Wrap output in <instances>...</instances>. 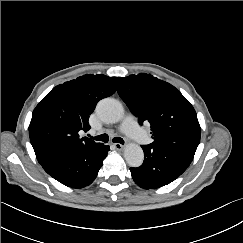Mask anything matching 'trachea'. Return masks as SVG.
Masks as SVG:
<instances>
[{"label": "trachea", "mask_w": 243, "mask_h": 243, "mask_svg": "<svg viewBox=\"0 0 243 243\" xmlns=\"http://www.w3.org/2000/svg\"><path fill=\"white\" fill-rule=\"evenodd\" d=\"M91 138H93L96 141H101V142H104V143H107L109 141V136L107 134H101L99 136H95V137H91ZM113 142L124 144V140L120 137L113 138Z\"/></svg>", "instance_id": "obj_1"}]
</instances>
